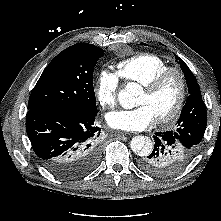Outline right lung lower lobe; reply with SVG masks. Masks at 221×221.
I'll return each instance as SVG.
<instances>
[{
  "label": "right lung lower lobe",
  "instance_id": "1",
  "mask_svg": "<svg viewBox=\"0 0 221 221\" xmlns=\"http://www.w3.org/2000/svg\"><path fill=\"white\" fill-rule=\"evenodd\" d=\"M98 111L28 110L26 131L33 150L44 167L63 179L89 173L99 152Z\"/></svg>",
  "mask_w": 221,
  "mask_h": 221
}]
</instances>
